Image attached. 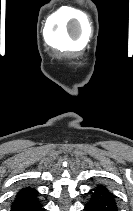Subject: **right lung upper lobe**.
I'll return each mask as SVG.
<instances>
[{
	"mask_svg": "<svg viewBox=\"0 0 133 211\" xmlns=\"http://www.w3.org/2000/svg\"><path fill=\"white\" fill-rule=\"evenodd\" d=\"M38 192L30 187L22 188L17 194L12 202L11 208L25 205L37 200Z\"/></svg>",
	"mask_w": 133,
	"mask_h": 211,
	"instance_id": "right-lung-upper-lobe-1",
	"label": "right lung upper lobe"
}]
</instances>
